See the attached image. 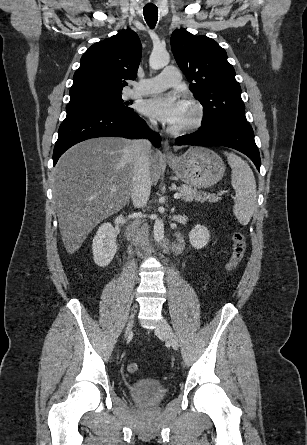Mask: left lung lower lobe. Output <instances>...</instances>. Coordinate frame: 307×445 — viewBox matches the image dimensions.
<instances>
[{
  "mask_svg": "<svg viewBox=\"0 0 307 445\" xmlns=\"http://www.w3.org/2000/svg\"><path fill=\"white\" fill-rule=\"evenodd\" d=\"M177 145H220L247 155L260 171V155L254 132L247 122L224 120L200 127L196 132L176 139Z\"/></svg>",
  "mask_w": 307,
  "mask_h": 445,
  "instance_id": "1",
  "label": "left lung lower lobe"
}]
</instances>
